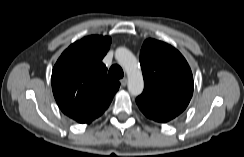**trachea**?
Returning a JSON list of instances; mask_svg holds the SVG:
<instances>
[{"instance_id":"1","label":"trachea","mask_w":244,"mask_h":157,"mask_svg":"<svg viewBox=\"0 0 244 157\" xmlns=\"http://www.w3.org/2000/svg\"><path fill=\"white\" fill-rule=\"evenodd\" d=\"M108 74L115 79H121L124 75L122 68L118 65H113Z\"/></svg>"}]
</instances>
